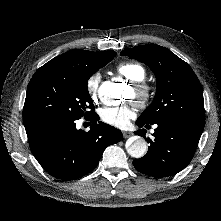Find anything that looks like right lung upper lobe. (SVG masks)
<instances>
[{
	"instance_id": "right-lung-upper-lobe-1",
	"label": "right lung upper lobe",
	"mask_w": 221,
	"mask_h": 221,
	"mask_svg": "<svg viewBox=\"0 0 221 221\" xmlns=\"http://www.w3.org/2000/svg\"><path fill=\"white\" fill-rule=\"evenodd\" d=\"M114 51H103V52H92L81 49L70 50L62 55L55 57L54 59L47 62L44 66H52L59 68H70V67H80L84 64L89 63L92 59L113 54Z\"/></svg>"
}]
</instances>
